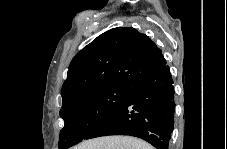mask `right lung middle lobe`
<instances>
[{
    "mask_svg": "<svg viewBox=\"0 0 227 149\" xmlns=\"http://www.w3.org/2000/svg\"><path fill=\"white\" fill-rule=\"evenodd\" d=\"M130 87L108 85L92 90L60 110L65 124L60 131L59 148L68 149L87 139L129 96Z\"/></svg>",
    "mask_w": 227,
    "mask_h": 149,
    "instance_id": "1",
    "label": "right lung middle lobe"
}]
</instances>
